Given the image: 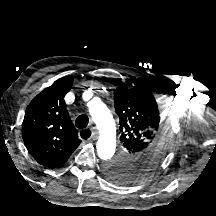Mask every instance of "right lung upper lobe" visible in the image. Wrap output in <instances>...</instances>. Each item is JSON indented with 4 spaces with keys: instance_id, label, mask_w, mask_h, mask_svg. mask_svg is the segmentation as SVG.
Here are the masks:
<instances>
[{
    "instance_id": "cb5924a9",
    "label": "right lung upper lobe",
    "mask_w": 216,
    "mask_h": 216,
    "mask_svg": "<svg viewBox=\"0 0 216 216\" xmlns=\"http://www.w3.org/2000/svg\"><path fill=\"white\" fill-rule=\"evenodd\" d=\"M72 83V76L58 79L39 93L25 112L22 137L26 148L39 164L48 168L65 164L81 143L64 101Z\"/></svg>"
}]
</instances>
